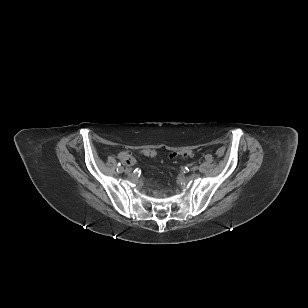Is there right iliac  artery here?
Listing matches in <instances>:
<instances>
[{"label": "right iliac artery", "instance_id": "82829eb1", "mask_svg": "<svg viewBox=\"0 0 308 308\" xmlns=\"http://www.w3.org/2000/svg\"><path fill=\"white\" fill-rule=\"evenodd\" d=\"M117 166H118L117 167V172L118 173H122L124 171V168L121 166V163H118Z\"/></svg>", "mask_w": 308, "mask_h": 308}]
</instances>
